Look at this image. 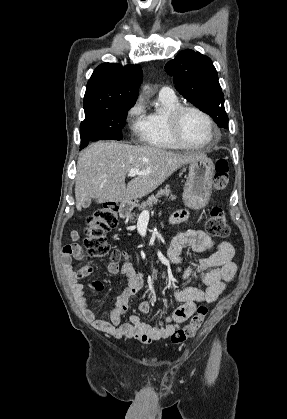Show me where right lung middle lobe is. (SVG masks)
Returning <instances> with one entry per match:
<instances>
[{
  "mask_svg": "<svg viewBox=\"0 0 287 419\" xmlns=\"http://www.w3.org/2000/svg\"><path fill=\"white\" fill-rule=\"evenodd\" d=\"M133 105H116L85 113V120L80 124L81 148L86 147L89 141L121 140L127 111Z\"/></svg>",
  "mask_w": 287,
  "mask_h": 419,
  "instance_id": "right-lung-middle-lobe-1",
  "label": "right lung middle lobe"
}]
</instances>
